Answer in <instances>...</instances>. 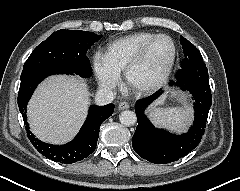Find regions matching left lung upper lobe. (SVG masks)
I'll list each match as a JSON object with an SVG mask.
<instances>
[{"mask_svg":"<svg viewBox=\"0 0 240 191\" xmlns=\"http://www.w3.org/2000/svg\"><path fill=\"white\" fill-rule=\"evenodd\" d=\"M180 43L186 57L182 61V67L192 74L208 72L200 51L182 36H180Z\"/></svg>","mask_w":240,"mask_h":191,"instance_id":"obj_1","label":"left lung upper lobe"}]
</instances>
